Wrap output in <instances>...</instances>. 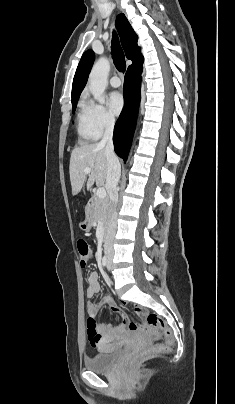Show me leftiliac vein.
<instances>
[{
	"instance_id": "4c4485c4",
	"label": "left iliac vein",
	"mask_w": 235,
	"mask_h": 404,
	"mask_svg": "<svg viewBox=\"0 0 235 404\" xmlns=\"http://www.w3.org/2000/svg\"><path fill=\"white\" fill-rule=\"evenodd\" d=\"M111 265H112L111 261H108V264H107V268H108V270H110V269H111Z\"/></svg>"
}]
</instances>
